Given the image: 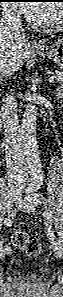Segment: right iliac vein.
Here are the masks:
<instances>
[{"instance_id": "obj_1", "label": "right iliac vein", "mask_w": 63, "mask_h": 297, "mask_svg": "<svg viewBox=\"0 0 63 297\" xmlns=\"http://www.w3.org/2000/svg\"><path fill=\"white\" fill-rule=\"evenodd\" d=\"M16 200H17V196H16V194L11 195V196L9 197L10 206H11ZM7 254H9V252L6 251L5 249H2V250L0 251V258H1V259H4L5 256H6Z\"/></svg>"}]
</instances>
